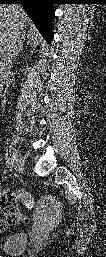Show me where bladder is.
<instances>
[{"label":"bladder","mask_w":106,"mask_h":257,"mask_svg":"<svg viewBox=\"0 0 106 257\" xmlns=\"http://www.w3.org/2000/svg\"><path fill=\"white\" fill-rule=\"evenodd\" d=\"M28 242V237L24 232H18L5 237L1 244V250L8 255L21 254Z\"/></svg>","instance_id":"31cf9c89"}]
</instances>
